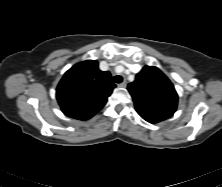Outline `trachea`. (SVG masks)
<instances>
[{
	"instance_id": "3493384b",
	"label": "trachea",
	"mask_w": 222,
	"mask_h": 187,
	"mask_svg": "<svg viewBox=\"0 0 222 187\" xmlns=\"http://www.w3.org/2000/svg\"><path fill=\"white\" fill-rule=\"evenodd\" d=\"M113 81L115 83H121L123 81V78L120 75H116V76H114Z\"/></svg>"
}]
</instances>
